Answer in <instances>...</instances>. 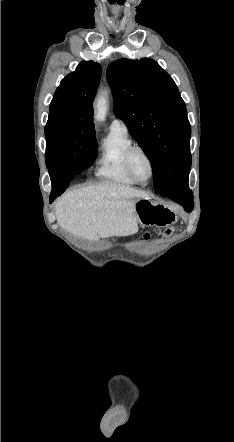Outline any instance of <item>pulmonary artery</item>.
Returning <instances> with one entry per match:
<instances>
[{"label":"pulmonary artery","mask_w":234,"mask_h":442,"mask_svg":"<svg viewBox=\"0 0 234 442\" xmlns=\"http://www.w3.org/2000/svg\"><path fill=\"white\" fill-rule=\"evenodd\" d=\"M111 127L127 130V126H126L125 122L121 119H118V118L113 120Z\"/></svg>","instance_id":"1"}]
</instances>
